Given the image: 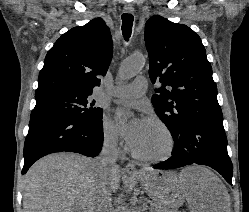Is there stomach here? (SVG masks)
Segmentation results:
<instances>
[{"label":"stomach","mask_w":249,"mask_h":212,"mask_svg":"<svg viewBox=\"0 0 249 212\" xmlns=\"http://www.w3.org/2000/svg\"><path fill=\"white\" fill-rule=\"evenodd\" d=\"M141 179L149 198H184L183 179H177L174 170H147ZM182 203V199H155V204Z\"/></svg>","instance_id":"0dacf381"}]
</instances>
